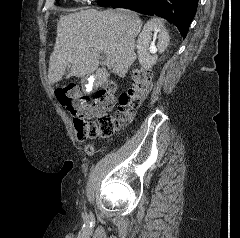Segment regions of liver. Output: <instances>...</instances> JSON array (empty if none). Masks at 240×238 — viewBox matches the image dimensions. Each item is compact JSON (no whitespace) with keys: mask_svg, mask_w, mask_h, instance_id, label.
<instances>
[{"mask_svg":"<svg viewBox=\"0 0 240 238\" xmlns=\"http://www.w3.org/2000/svg\"><path fill=\"white\" fill-rule=\"evenodd\" d=\"M141 28L142 21L129 10L88 9L61 16L49 60V83L59 82L70 66L69 76L84 78L95 72L97 89L108 79L106 69L98 68L102 53L111 59L113 73L125 77L136 59L135 38Z\"/></svg>","mask_w":240,"mask_h":238,"instance_id":"liver-1","label":"liver"}]
</instances>
